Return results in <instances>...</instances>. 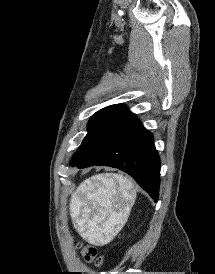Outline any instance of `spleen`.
<instances>
[{"mask_svg":"<svg viewBox=\"0 0 215 274\" xmlns=\"http://www.w3.org/2000/svg\"><path fill=\"white\" fill-rule=\"evenodd\" d=\"M135 198L136 190L129 178L118 174L97 175L80 184L70 209L84 238L105 243L112 237L110 229L114 221L127 215Z\"/></svg>","mask_w":215,"mask_h":274,"instance_id":"obj_1","label":"spleen"}]
</instances>
